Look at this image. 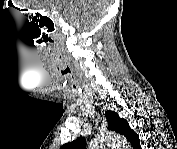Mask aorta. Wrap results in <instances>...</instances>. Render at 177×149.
I'll use <instances>...</instances> for the list:
<instances>
[{
  "label": "aorta",
  "mask_w": 177,
  "mask_h": 149,
  "mask_svg": "<svg viewBox=\"0 0 177 149\" xmlns=\"http://www.w3.org/2000/svg\"><path fill=\"white\" fill-rule=\"evenodd\" d=\"M122 143L123 147H127V143L125 142V139L121 138L118 135L113 134H105L97 136L93 139V141L90 144V149H103L106 145L112 144V143Z\"/></svg>",
  "instance_id": "obj_1"
}]
</instances>
